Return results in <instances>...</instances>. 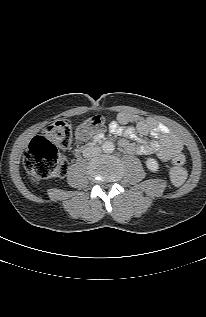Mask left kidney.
<instances>
[{
  "instance_id": "5707ae66",
  "label": "left kidney",
  "mask_w": 206,
  "mask_h": 317,
  "mask_svg": "<svg viewBox=\"0 0 206 317\" xmlns=\"http://www.w3.org/2000/svg\"><path fill=\"white\" fill-rule=\"evenodd\" d=\"M146 166L152 172H156L159 169L158 161L154 158H148L146 161Z\"/></svg>"
}]
</instances>
